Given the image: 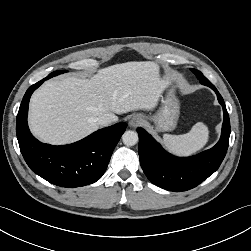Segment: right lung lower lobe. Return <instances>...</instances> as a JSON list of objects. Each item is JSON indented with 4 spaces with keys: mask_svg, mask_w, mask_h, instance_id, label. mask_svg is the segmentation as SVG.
I'll use <instances>...</instances> for the list:
<instances>
[{
    "mask_svg": "<svg viewBox=\"0 0 251 251\" xmlns=\"http://www.w3.org/2000/svg\"><path fill=\"white\" fill-rule=\"evenodd\" d=\"M45 80L47 77L30 86L21 102L16 119L20 151L31 170L54 185L74 188L94 183L104 174L127 124L100 129L69 145L39 142L29 131L27 113L32 93Z\"/></svg>",
    "mask_w": 251,
    "mask_h": 251,
    "instance_id": "right-lung-lower-lobe-1",
    "label": "right lung lower lobe"
}]
</instances>
